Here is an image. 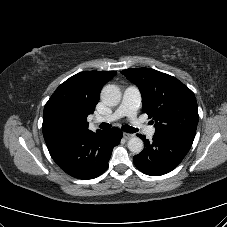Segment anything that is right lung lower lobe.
I'll use <instances>...</instances> for the list:
<instances>
[{"mask_svg":"<svg viewBox=\"0 0 227 227\" xmlns=\"http://www.w3.org/2000/svg\"><path fill=\"white\" fill-rule=\"evenodd\" d=\"M118 128L67 136L47 144L56 164L67 174L78 179H93L108 168L113 148L120 143Z\"/></svg>","mask_w":227,"mask_h":227,"instance_id":"1","label":"right lung lower lobe"}]
</instances>
